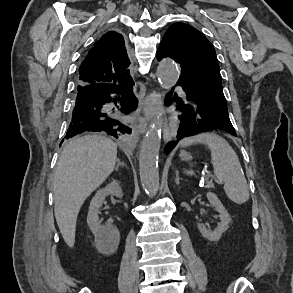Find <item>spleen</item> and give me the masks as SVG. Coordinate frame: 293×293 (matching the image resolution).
Masks as SVG:
<instances>
[{"label":"spleen","instance_id":"obj_1","mask_svg":"<svg viewBox=\"0 0 293 293\" xmlns=\"http://www.w3.org/2000/svg\"><path fill=\"white\" fill-rule=\"evenodd\" d=\"M181 146L204 144L211 151V163L216 177L224 182V190L230 200L243 204L249 199V188L239 158L229 143L218 134L201 133L184 138ZM192 175L193 171H187Z\"/></svg>","mask_w":293,"mask_h":293}]
</instances>
